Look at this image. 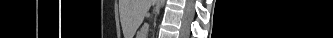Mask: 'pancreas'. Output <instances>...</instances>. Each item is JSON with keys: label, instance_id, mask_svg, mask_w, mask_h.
I'll return each mask as SVG.
<instances>
[{"label": "pancreas", "instance_id": "obj_1", "mask_svg": "<svg viewBox=\"0 0 333 38\" xmlns=\"http://www.w3.org/2000/svg\"><path fill=\"white\" fill-rule=\"evenodd\" d=\"M143 31H144V28H143V29L140 31V33H139V34H140V35H142V34H143Z\"/></svg>", "mask_w": 333, "mask_h": 38}]
</instances>
